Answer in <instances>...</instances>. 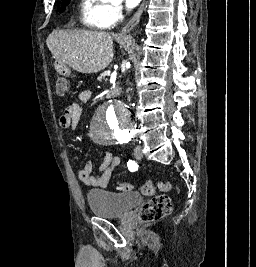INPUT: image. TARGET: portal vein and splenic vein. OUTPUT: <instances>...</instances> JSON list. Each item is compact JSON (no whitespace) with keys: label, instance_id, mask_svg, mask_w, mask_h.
Here are the masks:
<instances>
[{"label":"portal vein and splenic vein","instance_id":"1","mask_svg":"<svg viewBox=\"0 0 256 267\" xmlns=\"http://www.w3.org/2000/svg\"><path fill=\"white\" fill-rule=\"evenodd\" d=\"M110 74H111V70L107 69L106 72L104 73V76L108 77V76H110Z\"/></svg>","mask_w":256,"mask_h":267}]
</instances>
